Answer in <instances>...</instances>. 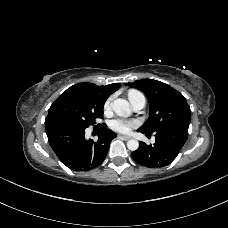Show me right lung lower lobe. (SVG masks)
<instances>
[{
	"mask_svg": "<svg viewBox=\"0 0 228 228\" xmlns=\"http://www.w3.org/2000/svg\"><path fill=\"white\" fill-rule=\"evenodd\" d=\"M49 144L55 154L67 167L74 171H88L99 166L105 159L110 141L117 135L106 124L95 128L98 140L85 139L84 127L71 122L53 120L45 122Z\"/></svg>",
	"mask_w": 228,
	"mask_h": 228,
	"instance_id": "obj_1",
	"label": "right lung lower lobe"
}]
</instances>
